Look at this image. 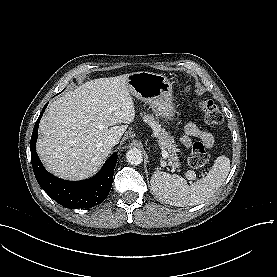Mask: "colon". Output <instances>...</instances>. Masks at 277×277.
Listing matches in <instances>:
<instances>
[{"label":"colon","mask_w":277,"mask_h":277,"mask_svg":"<svg viewBox=\"0 0 277 277\" xmlns=\"http://www.w3.org/2000/svg\"><path fill=\"white\" fill-rule=\"evenodd\" d=\"M198 107L204 121L208 124H219L223 116L218 106L210 99L198 101ZM209 161V154L202 142H196L188 157V164L191 169L200 171Z\"/></svg>","instance_id":"obj_1"}]
</instances>
